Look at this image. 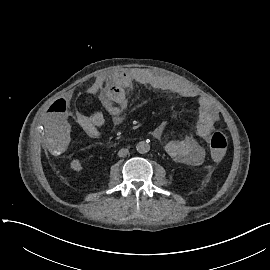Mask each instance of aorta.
I'll use <instances>...</instances> for the list:
<instances>
[{
    "label": "aorta",
    "mask_w": 270,
    "mask_h": 270,
    "mask_svg": "<svg viewBox=\"0 0 270 270\" xmlns=\"http://www.w3.org/2000/svg\"><path fill=\"white\" fill-rule=\"evenodd\" d=\"M136 149L140 154H145L147 152H149L150 150V145L149 143L145 142V141H140L137 145H136Z\"/></svg>",
    "instance_id": "1"
}]
</instances>
